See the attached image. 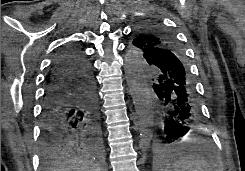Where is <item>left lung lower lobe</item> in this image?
Masks as SVG:
<instances>
[{"label": "left lung lower lobe", "mask_w": 245, "mask_h": 171, "mask_svg": "<svg viewBox=\"0 0 245 171\" xmlns=\"http://www.w3.org/2000/svg\"><path fill=\"white\" fill-rule=\"evenodd\" d=\"M148 61L156 73H144L152 81L159 107L156 122L160 136L154 146L161 147V154L166 157L173 153L166 145L180 141L201 123V110L194 83L180 53L164 50ZM158 161L162 162L163 158L159 157Z\"/></svg>", "instance_id": "obj_1"}]
</instances>
